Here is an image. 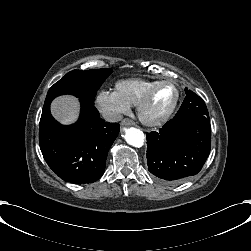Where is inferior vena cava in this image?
<instances>
[{
  "mask_svg": "<svg viewBox=\"0 0 251 251\" xmlns=\"http://www.w3.org/2000/svg\"><path fill=\"white\" fill-rule=\"evenodd\" d=\"M102 116L107 122H118L123 118L122 114L112 110H103Z\"/></svg>",
  "mask_w": 251,
  "mask_h": 251,
  "instance_id": "1",
  "label": "inferior vena cava"
}]
</instances>
